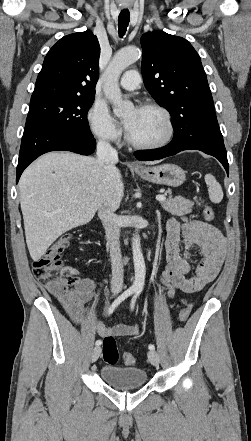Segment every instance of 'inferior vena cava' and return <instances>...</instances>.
<instances>
[{
    "instance_id": "1",
    "label": "inferior vena cava",
    "mask_w": 251,
    "mask_h": 441,
    "mask_svg": "<svg viewBox=\"0 0 251 441\" xmlns=\"http://www.w3.org/2000/svg\"><path fill=\"white\" fill-rule=\"evenodd\" d=\"M97 161L105 166L110 162L118 161V153L107 141L100 139L97 143ZM115 209L104 201L98 208V216L103 224L106 233V239L110 250V259L112 267L111 291L119 293L123 288V262L120 249V225Z\"/></svg>"
}]
</instances>
